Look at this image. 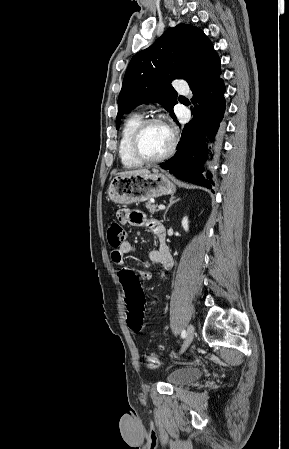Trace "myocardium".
Returning <instances> with one entry per match:
<instances>
[{
	"mask_svg": "<svg viewBox=\"0 0 289 449\" xmlns=\"http://www.w3.org/2000/svg\"><path fill=\"white\" fill-rule=\"evenodd\" d=\"M153 123L163 124L170 132L171 141L167 151L161 156L155 158L146 157L140 148V139L144 130ZM177 146V132L168 119L163 115H152L143 119L133 132L131 138V150L134 157L141 163H158L168 159L175 151Z\"/></svg>",
	"mask_w": 289,
	"mask_h": 449,
	"instance_id": "myocardium-1",
	"label": "myocardium"
}]
</instances>
